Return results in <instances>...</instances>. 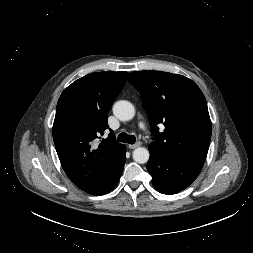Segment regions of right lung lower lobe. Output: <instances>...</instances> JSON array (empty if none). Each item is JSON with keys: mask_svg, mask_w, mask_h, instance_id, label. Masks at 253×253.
I'll return each instance as SVG.
<instances>
[{"mask_svg": "<svg viewBox=\"0 0 253 253\" xmlns=\"http://www.w3.org/2000/svg\"><path fill=\"white\" fill-rule=\"evenodd\" d=\"M125 154L126 148H124V150L119 154L105 177L97 185L87 191V193L92 195H103L115 188L124 168L126 159Z\"/></svg>", "mask_w": 253, "mask_h": 253, "instance_id": "right-lung-lower-lobe-1", "label": "right lung lower lobe"}]
</instances>
